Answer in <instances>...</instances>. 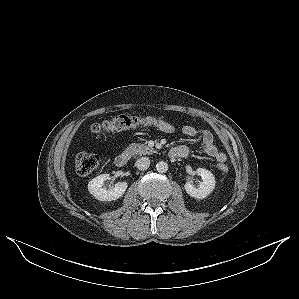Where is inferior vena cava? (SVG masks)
Segmentation results:
<instances>
[{"mask_svg":"<svg viewBox=\"0 0 299 299\" xmlns=\"http://www.w3.org/2000/svg\"><path fill=\"white\" fill-rule=\"evenodd\" d=\"M150 166V159L148 157H141L136 161V167L139 170H146Z\"/></svg>","mask_w":299,"mask_h":299,"instance_id":"inferior-vena-cava-1","label":"inferior vena cava"}]
</instances>
